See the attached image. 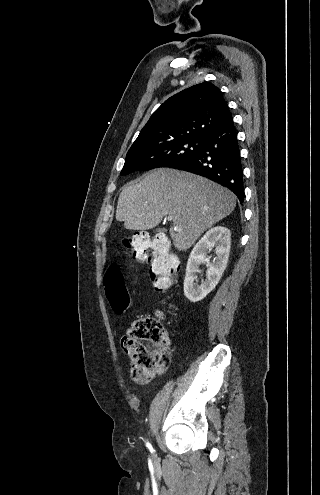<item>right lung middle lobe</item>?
<instances>
[{"label": "right lung middle lobe", "mask_w": 320, "mask_h": 495, "mask_svg": "<svg viewBox=\"0 0 320 495\" xmlns=\"http://www.w3.org/2000/svg\"><path fill=\"white\" fill-rule=\"evenodd\" d=\"M203 138H185L172 142L130 148L122 175L157 167H172L194 156L200 149Z\"/></svg>", "instance_id": "1"}]
</instances>
